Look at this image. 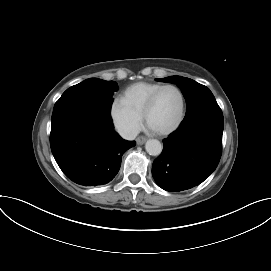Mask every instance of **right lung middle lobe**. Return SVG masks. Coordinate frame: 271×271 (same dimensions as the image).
Segmentation results:
<instances>
[{
  "instance_id": "obj_1",
  "label": "right lung middle lobe",
  "mask_w": 271,
  "mask_h": 271,
  "mask_svg": "<svg viewBox=\"0 0 271 271\" xmlns=\"http://www.w3.org/2000/svg\"><path fill=\"white\" fill-rule=\"evenodd\" d=\"M118 90L114 81L87 79L67 89L55 103L53 114L70 108L101 104L111 109L112 95Z\"/></svg>"
}]
</instances>
